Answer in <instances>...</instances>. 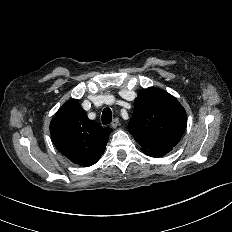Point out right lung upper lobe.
Wrapping results in <instances>:
<instances>
[{"instance_id": "obj_1", "label": "right lung upper lobe", "mask_w": 232, "mask_h": 232, "mask_svg": "<svg viewBox=\"0 0 232 232\" xmlns=\"http://www.w3.org/2000/svg\"><path fill=\"white\" fill-rule=\"evenodd\" d=\"M111 131L89 120L77 99L66 102L50 123L56 148L73 163L85 167L99 160Z\"/></svg>"}]
</instances>
